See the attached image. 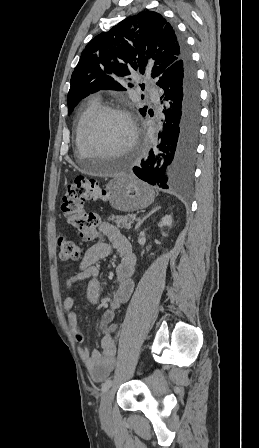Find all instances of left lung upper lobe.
Wrapping results in <instances>:
<instances>
[{"label":"left lung upper lobe","mask_w":259,"mask_h":448,"mask_svg":"<svg viewBox=\"0 0 259 448\" xmlns=\"http://www.w3.org/2000/svg\"><path fill=\"white\" fill-rule=\"evenodd\" d=\"M182 56V44L174 27L159 13L143 11L94 37L81 53L71 76L68 112L90 93L103 89L126 90L131 74L151 68L157 78ZM142 116L147 106L139 109Z\"/></svg>","instance_id":"left-lung-upper-lobe-1"}]
</instances>
